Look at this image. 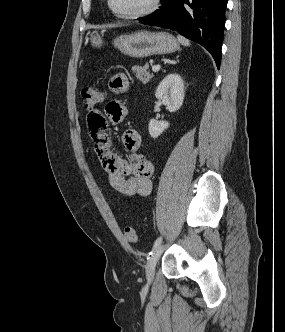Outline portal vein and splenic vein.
Wrapping results in <instances>:
<instances>
[{"label": "portal vein and splenic vein", "mask_w": 285, "mask_h": 332, "mask_svg": "<svg viewBox=\"0 0 285 332\" xmlns=\"http://www.w3.org/2000/svg\"><path fill=\"white\" fill-rule=\"evenodd\" d=\"M160 68H161L160 65H154V66L152 67V71H153V72H157V71L160 70Z\"/></svg>", "instance_id": "18ae733b"}]
</instances>
